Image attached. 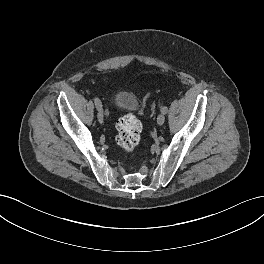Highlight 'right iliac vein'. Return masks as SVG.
Segmentation results:
<instances>
[{"label": "right iliac vein", "instance_id": "63e3f726", "mask_svg": "<svg viewBox=\"0 0 264 264\" xmlns=\"http://www.w3.org/2000/svg\"><path fill=\"white\" fill-rule=\"evenodd\" d=\"M97 118H98V121H99L100 123H103L104 115H103V111H102V109H99V110H98Z\"/></svg>", "mask_w": 264, "mask_h": 264}]
</instances>
